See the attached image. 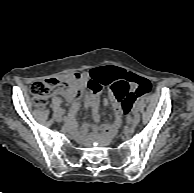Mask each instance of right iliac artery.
Wrapping results in <instances>:
<instances>
[{
  "instance_id": "82829eb1",
  "label": "right iliac artery",
  "mask_w": 194,
  "mask_h": 193,
  "mask_svg": "<svg viewBox=\"0 0 194 193\" xmlns=\"http://www.w3.org/2000/svg\"><path fill=\"white\" fill-rule=\"evenodd\" d=\"M73 119H74V114H72L71 112L68 113L67 116H64L65 121H72Z\"/></svg>"
}]
</instances>
